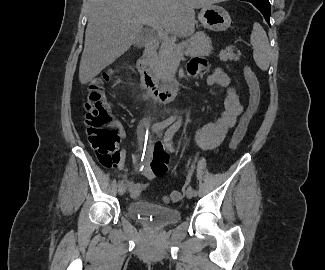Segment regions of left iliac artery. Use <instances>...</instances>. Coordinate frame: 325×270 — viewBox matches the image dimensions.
I'll return each instance as SVG.
<instances>
[{
  "instance_id": "obj_1",
  "label": "left iliac artery",
  "mask_w": 325,
  "mask_h": 270,
  "mask_svg": "<svg viewBox=\"0 0 325 270\" xmlns=\"http://www.w3.org/2000/svg\"><path fill=\"white\" fill-rule=\"evenodd\" d=\"M180 124L179 123H175L173 124L165 133L164 136V143L165 146L172 152L175 151L174 146H173V142H172V138L174 136V134L176 133V131L179 129ZM194 195H197V190H193Z\"/></svg>"
}]
</instances>
